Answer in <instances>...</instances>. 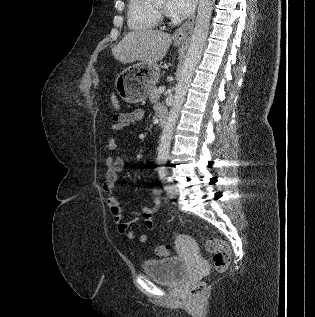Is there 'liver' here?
I'll use <instances>...</instances> for the list:
<instances>
[{
	"instance_id": "obj_1",
	"label": "liver",
	"mask_w": 315,
	"mask_h": 317,
	"mask_svg": "<svg viewBox=\"0 0 315 317\" xmlns=\"http://www.w3.org/2000/svg\"><path fill=\"white\" fill-rule=\"evenodd\" d=\"M171 43L172 38L168 33L151 29L137 30L127 33L111 52L123 64L140 61L145 65H156L165 57Z\"/></svg>"
}]
</instances>
